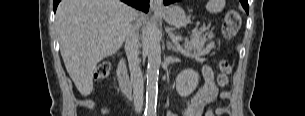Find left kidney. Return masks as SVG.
<instances>
[{
	"instance_id": "5707ae66",
	"label": "left kidney",
	"mask_w": 305,
	"mask_h": 116,
	"mask_svg": "<svg viewBox=\"0 0 305 116\" xmlns=\"http://www.w3.org/2000/svg\"><path fill=\"white\" fill-rule=\"evenodd\" d=\"M199 83V74L192 70L186 69L181 71L176 78V90L181 97H188L197 88Z\"/></svg>"
}]
</instances>
